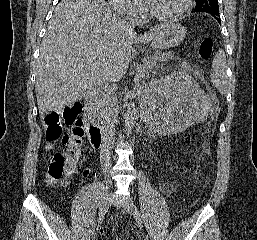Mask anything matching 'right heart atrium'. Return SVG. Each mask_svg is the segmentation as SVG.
I'll return each instance as SVG.
<instances>
[{"mask_svg":"<svg viewBox=\"0 0 257 240\" xmlns=\"http://www.w3.org/2000/svg\"><path fill=\"white\" fill-rule=\"evenodd\" d=\"M113 8L123 17L140 23L145 17V8L140 0H109Z\"/></svg>","mask_w":257,"mask_h":240,"instance_id":"1","label":"right heart atrium"}]
</instances>
